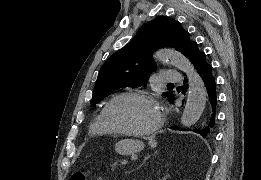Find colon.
Returning a JSON list of instances; mask_svg holds the SVG:
<instances>
[{
  "instance_id": "5ec220e1",
  "label": "colon",
  "mask_w": 261,
  "mask_h": 180,
  "mask_svg": "<svg viewBox=\"0 0 261 180\" xmlns=\"http://www.w3.org/2000/svg\"><path fill=\"white\" fill-rule=\"evenodd\" d=\"M72 180H85V175L82 172H76L73 174Z\"/></svg>"
}]
</instances>
